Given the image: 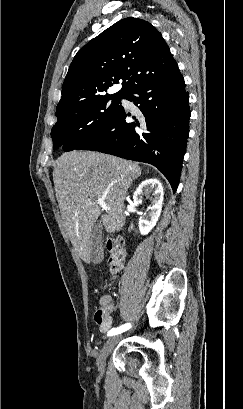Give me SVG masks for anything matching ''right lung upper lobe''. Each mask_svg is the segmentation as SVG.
<instances>
[{"label":"right lung upper lobe","mask_w":243,"mask_h":409,"mask_svg":"<svg viewBox=\"0 0 243 409\" xmlns=\"http://www.w3.org/2000/svg\"><path fill=\"white\" fill-rule=\"evenodd\" d=\"M178 68L162 35L147 21L125 18L92 39L75 55L56 109L102 96L123 80L114 95L162 78ZM108 95V94H106Z\"/></svg>","instance_id":"right-lung-upper-lobe-1"}]
</instances>
